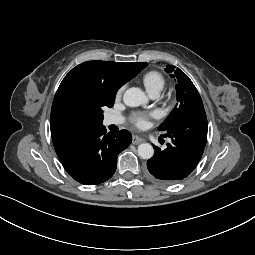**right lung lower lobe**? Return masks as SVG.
Returning a JSON list of instances; mask_svg holds the SVG:
<instances>
[{"mask_svg":"<svg viewBox=\"0 0 255 255\" xmlns=\"http://www.w3.org/2000/svg\"><path fill=\"white\" fill-rule=\"evenodd\" d=\"M56 154L68 174L81 184L96 185L110 179L117 157L132 142L127 130L106 134L103 125L52 134Z\"/></svg>","mask_w":255,"mask_h":255,"instance_id":"obj_1","label":"right lung lower lobe"}]
</instances>
